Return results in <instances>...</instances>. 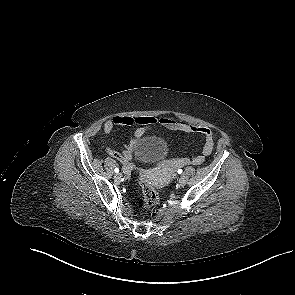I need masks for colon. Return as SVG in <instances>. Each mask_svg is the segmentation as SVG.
Instances as JSON below:
<instances>
[{"instance_id": "1", "label": "colon", "mask_w": 295, "mask_h": 295, "mask_svg": "<svg viewBox=\"0 0 295 295\" xmlns=\"http://www.w3.org/2000/svg\"><path fill=\"white\" fill-rule=\"evenodd\" d=\"M136 206L141 211H148L159 203V196L144 176L141 191L136 195Z\"/></svg>"}]
</instances>
